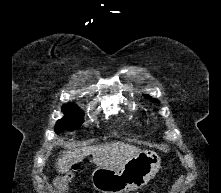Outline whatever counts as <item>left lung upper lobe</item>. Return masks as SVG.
I'll return each instance as SVG.
<instances>
[{
  "instance_id": "left-lung-upper-lobe-1",
  "label": "left lung upper lobe",
  "mask_w": 221,
  "mask_h": 193,
  "mask_svg": "<svg viewBox=\"0 0 221 193\" xmlns=\"http://www.w3.org/2000/svg\"><path fill=\"white\" fill-rule=\"evenodd\" d=\"M147 97L149 98V99H151V97H149L148 95H147ZM152 101H154V102H159L157 99H151Z\"/></svg>"
}]
</instances>
